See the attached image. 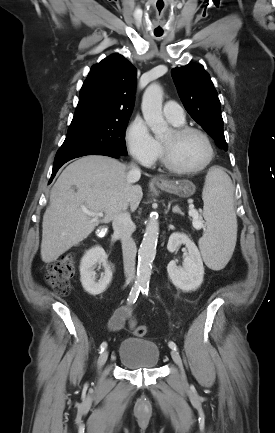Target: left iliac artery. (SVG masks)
<instances>
[{
    "instance_id": "1",
    "label": "left iliac artery",
    "mask_w": 275,
    "mask_h": 433,
    "mask_svg": "<svg viewBox=\"0 0 275 433\" xmlns=\"http://www.w3.org/2000/svg\"><path fill=\"white\" fill-rule=\"evenodd\" d=\"M141 291H142V293L143 294H148V291H149V285H143L142 286V289H141ZM169 347L171 348V349H173V350H177V346H176V344L174 343V342H169Z\"/></svg>"
}]
</instances>
